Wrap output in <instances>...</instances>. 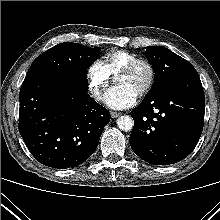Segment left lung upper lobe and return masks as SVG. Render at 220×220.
<instances>
[{"instance_id":"5c2ea615","label":"left lung upper lobe","mask_w":220,"mask_h":220,"mask_svg":"<svg viewBox=\"0 0 220 220\" xmlns=\"http://www.w3.org/2000/svg\"><path fill=\"white\" fill-rule=\"evenodd\" d=\"M145 54L155 72V81L145 97L164 90L181 76L197 73L188 61L165 47L148 46Z\"/></svg>"}]
</instances>
